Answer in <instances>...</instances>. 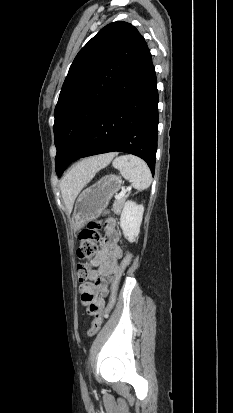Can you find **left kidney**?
Here are the masks:
<instances>
[{
    "instance_id": "5707ae66",
    "label": "left kidney",
    "mask_w": 233,
    "mask_h": 413,
    "mask_svg": "<svg viewBox=\"0 0 233 413\" xmlns=\"http://www.w3.org/2000/svg\"><path fill=\"white\" fill-rule=\"evenodd\" d=\"M144 207L133 201H127L120 216V227L129 242H135L140 232Z\"/></svg>"
}]
</instances>
